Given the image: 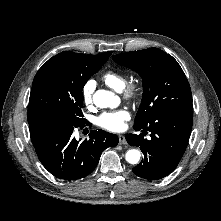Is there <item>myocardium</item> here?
Wrapping results in <instances>:
<instances>
[{
  "mask_svg": "<svg viewBox=\"0 0 221 221\" xmlns=\"http://www.w3.org/2000/svg\"><path fill=\"white\" fill-rule=\"evenodd\" d=\"M140 93H141V87L136 82L126 84V86L123 89L124 97L128 100L138 99Z\"/></svg>",
  "mask_w": 221,
  "mask_h": 221,
  "instance_id": "myocardium-1",
  "label": "myocardium"
}]
</instances>
